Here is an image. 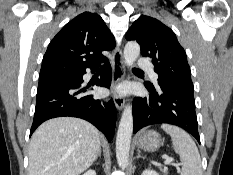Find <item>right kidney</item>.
Instances as JSON below:
<instances>
[{"label": "right kidney", "mask_w": 233, "mask_h": 175, "mask_svg": "<svg viewBox=\"0 0 233 175\" xmlns=\"http://www.w3.org/2000/svg\"><path fill=\"white\" fill-rule=\"evenodd\" d=\"M83 175H96V172H95V170H88Z\"/></svg>", "instance_id": "right-kidney-1"}]
</instances>
